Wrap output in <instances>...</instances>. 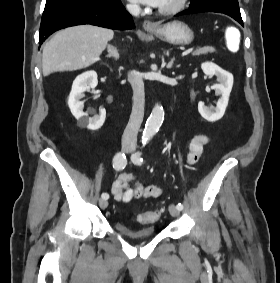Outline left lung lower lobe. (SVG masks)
I'll list each match as a JSON object with an SVG mask.
<instances>
[{"mask_svg": "<svg viewBox=\"0 0 280 283\" xmlns=\"http://www.w3.org/2000/svg\"><path fill=\"white\" fill-rule=\"evenodd\" d=\"M199 12H217V13H224L222 11H219V10H215V9H211V8H204V7H196V8H189L181 13H178L177 16H180V15H185V14H191V13H199ZM226 14V13H224ZM228 15V14H226ZM230 16V15H229ZM232 18H234L237 22H239L242 26H243V21H242V18H237V17H234V16H231Z\"/></svg>", "mask_w": 280, "mask_h": 283, "instance_id": "obj_1", "label": "left lung lower lobe"}]
</instances>
